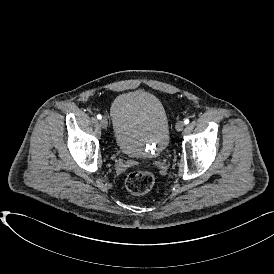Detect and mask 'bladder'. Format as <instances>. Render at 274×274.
<instances>
[{
  "instance_id": "31cf9c89",
  "label": "bladder",
  "mask_w": 274,
  "mask_h": 274,
  "mask_svg": "<svg viewBox=\"0 0 274 274\" xmlns=\"http://www.w3.org/2000/svg\"><path fill=\"white\" fill-rule=\"evenodd\" d=\"M114 141L131 158L156 157L169 143V121L162 102L144 91L120 94L111 107Z\"/></svg>"
}]
</instances>
